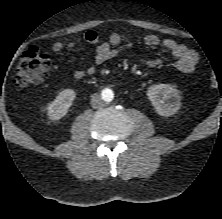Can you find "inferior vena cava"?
Segmentation results:
<instances>
[{"label":"inferior vena cava","instance_id":"1","mask_svg":"<svg viewBox=\"0 0 222 219\" xmlns=\"http://www.w3.org/2000/svg\"><path fill=\"white\" fill-rule=\"evenodd\" d=\"M91 105H92L93 108L103 107L104 102H103L102 98L100 97V95H98L97 93L92 95Z\"/></svg>","mask_w":222,"mask_h":219}]
</instances>
